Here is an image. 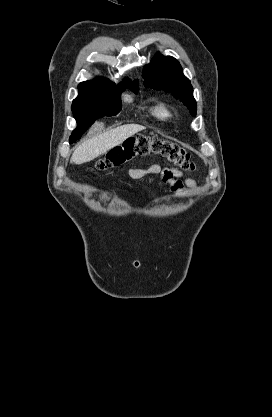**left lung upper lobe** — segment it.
I'll list each match as a JSON object with an SVG mask.
<instances>
[{
    "mask_svg": "<svg viewBox=\"0 0 272 417\" xmlns=\"http://www.w3.org/2000/svg\"><path fill=\"white\" fill-rule=\"evenodd\" d=\"M144 85L156 90L172 93L189 108L195 116L197 107L193 97V88L188 78L183 75L179 62L171 56L157 53L143 70Z\"/></svg>",
    "mask_w": 272,
    "mask_h": 417,
    "instance_id": "5c2ea615",
    "label": "left lung upper lobe"
}]
</instances>
